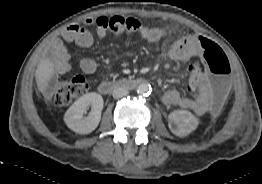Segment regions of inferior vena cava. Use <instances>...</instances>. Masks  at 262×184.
I'll use <instances>...</instances> for the list:
<instances>
[{"instance_id":"1","label":"inferior vena cava","mask_w":262,"mask_h":184,"mask_svg":"<svg viewBox=\"0 0 262 184\" xmlns=\"http://www.w3.org/2000/svg\"><path fill=\"white\" fill-rule=\"evenodd\" d=\"M128 93L129 91L126 87H117L113 90L112 95H113V98L119 99V98L127 96Z\"/></svg>"}]
</instances>
